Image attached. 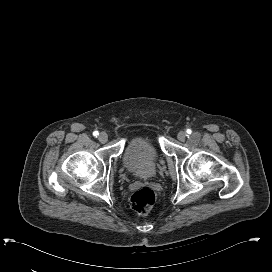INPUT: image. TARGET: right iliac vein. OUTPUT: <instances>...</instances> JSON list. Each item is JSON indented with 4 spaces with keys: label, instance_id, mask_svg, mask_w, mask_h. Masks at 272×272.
Instances as JSON below:
<instances>
[{
    "label": "right iliac vein",
    "instance_id": "1",
    "mask_svg": "<svg viewBox=\"0 0 272 272\" xmlns=\"http://www.w3.org/2000/svg\"><path fill=\"white\" fill-rule=\"evenodd\" d=\"M98 140L101 142V143H105L107 142L108 140V135L105 133V132H101L98 136Z\"/></svg>",
    "mask_w": 272,
    "mask_h": 272
}]
</instances>
